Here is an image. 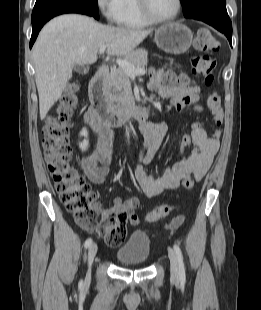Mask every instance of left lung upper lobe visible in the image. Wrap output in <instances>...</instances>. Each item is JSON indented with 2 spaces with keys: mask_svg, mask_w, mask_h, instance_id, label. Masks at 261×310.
<instances>
[{
  "mask_svg": "<svg viewBox=\"0 0 261 310\" xmlns=\"http://www.w3.org/2000/svg\"><path fill=\"white\" fill-rule=\"evenodd\" d=\"M186 18L214 16L227 13L226 0H180Z\"/></svg>",
  "mask_w": 261,
  "mask_h": 310,
  "instance_id": "obj_1",
  "label": "left lung upper lobe"
}]
</instances>
